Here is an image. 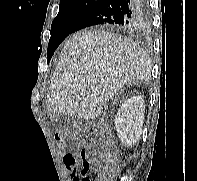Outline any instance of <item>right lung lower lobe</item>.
<instances>
[{
    "instance_id": "right-lung-lower-lobe-1",
    "label": "right lung lower lobe",
    "mask_w": 197,
    "mask_h": 181,
    "mask_svg": "<svg viewBox=\"0 0 197 181\" xmlns=\"http://www.w3.org/2000/svg\"><path fill=\"white\" fill-rule=\"evenodd\" d=\"M146 0H101L77 21L71 33L95 25H113L123 29L144 23Z\"/></svg>"
}]
</instances>
